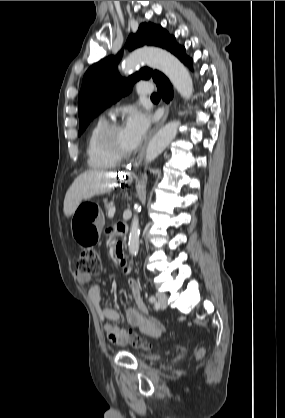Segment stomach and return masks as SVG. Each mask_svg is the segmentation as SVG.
I'll return each mask as SVG.
<instances>
[{
	"label": "stomach",
	"mask_w": 285,
	"mask_h": 418,
	"mask_svg": "<svg viewBox=\"0 0 285 418\" xmlns=\"http://www.w3.org/2000/svg\"><path fill=\"white\" fill-rule=\"evenodd\" d=\"M129 174V173H127ZM130 181V179H128ZM80 204L72 215L70 227L73 238L80 244L85 246L86 242L96 240L101 233V227L96 225V220L92 219L89 212L84 211ZM102 218L99 210L97 219Z\"/></svg>",
	"instance_id": "1"
}]
</instances>
